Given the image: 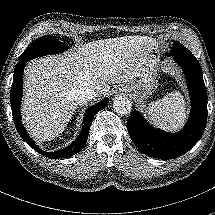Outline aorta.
Instances as JSON below:
<instances>
[{
	"instance_id": "1",
	"label": "aorta",
	"mask_w": 215,
	"mask_h": 215,
	"mask_svg": "<svg viewBox=\"0 0 215 215\" xmlns=\"http://www.w3.org/2000/svg\"><path fill=\"white\" fill-rule=\"evenodd\" d=\"M113 108H114L115 112H117L118 114L127 115L131 112L132 103L125 96H117L114 98Z\"/></svg>"
}]
</instances>
